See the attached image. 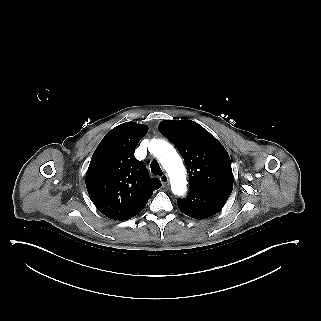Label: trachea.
<instances>
[{"label": "trachea", "mask_w": 321, "mask_h": 321, "mask_svg": "<svg viewBox=\"0 0 321 321\" xmlns=\"http://www.w3.org/2000/svg\"><path fill=\"white\" fill-rule=\"evenodd\" d=\"M151 172L155 175H162V170L160 168L159 163L156 160H153L150 164Z\"/></svg>", "instance_id": "trachea-1"}]
</instances>
